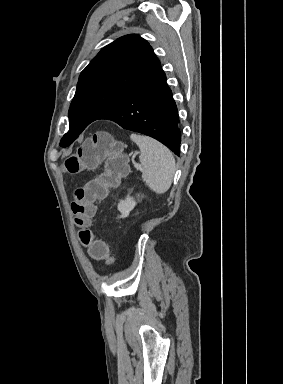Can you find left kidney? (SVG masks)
Segmentation results:
<instances>
[{"label": "left kidney", "mask_w": 283, "mask_h": 384, "mask_svg": "<svg viewBox=\"0 0 283 384\" xmlns=\"http://www.w3.org/2000/svg\"><path fill=\"white\" fill-rule=\"evenodd\" d=\"M136 204L137 202H135L134 198H131V196H127L125 200H120L118 204V210L121 212L120 218H127L131 210L135 208Z\"/></svg>", "instance_id": "left-kidney-1"}]
</instances>
